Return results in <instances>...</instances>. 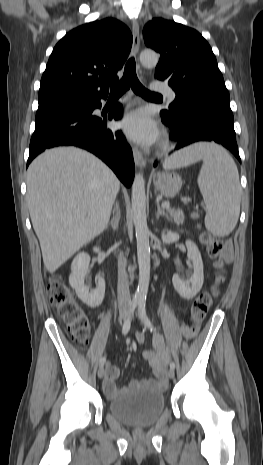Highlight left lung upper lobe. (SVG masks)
Instances as JSON below:
<instances>
[{
	"instance_id": "left-lung-upper-lobe-1",
	"label": "left lung upper lobe",
	"mask_w": 263,
	"mask_h": 465,
	"mask_svg": "<svg viewBox=\"0 0 263 465\" xmlns=\"http://www.w3.org/2000/svg\"><path fill=\"white\" fill-rule=\"evenodd\" d=\"M146 46L161 54L155 78L166 80L176 93L169 111L186 104L230 105L229 93L210 45L196 30L154 18L143 29Z\"/></svg>"
}]
</instances>
